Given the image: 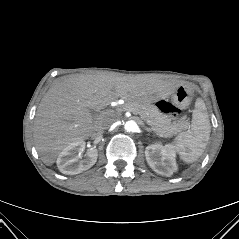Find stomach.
<instances>
[{
    "mask_svg": "<svg viewBox=\"0 0 239 239\" xmlns=\"http://www.w3.org/2000/svg\"><path fill=\"white\" fill-rule=\"evenodd\" d=\"M191 96V88L188 85L180 84L175 89L172 99L158 98L154 100L160 107L161 117L171 123H180L187 116L186 104Z\"/></svg>",
    "mask_w": 239,
    "mask_h": 239,
    "instance_id": "0dacf381",
    "label": "stomach"
}]
</instances>
